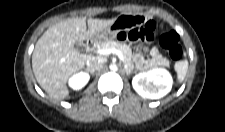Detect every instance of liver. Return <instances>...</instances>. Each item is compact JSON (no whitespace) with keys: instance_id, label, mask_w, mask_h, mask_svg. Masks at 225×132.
Returning a JSON list of instances; mask_svg holds the SVG:
<instances>
[{"instance_id":"6515ba94","label":"liver","mask_w":225,"mask_h":132,"mask_svg":"<svg viewBox=\"0 0 225 132\" xmlns=\"http://www.w3.org/2000/svg\"><path fill=\"white\" fill-rule=\"evenodd\" d=\"M115 21L116 18L66 19L51 26L38 39L32 55V68L38 84L50 97L67 98L68 79L81 70L91 57L80 53L74 47L75 43L93 38L96 33L113 25Z\"/></svg>"}]
</instances>
